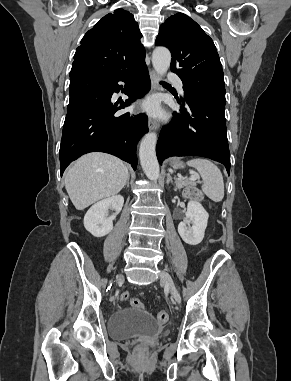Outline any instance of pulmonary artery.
I'll list each match as a JSON object with an SVG mask.
<instances>
[{"instance_id":"1","label":"pulmonary artery","mask_w":291,"mask_h":381,"mask_svg":"<svg viewBox=\"0 0 291 381\" xmlns=\"http://www.w3.org/2000/svg\"><path fill=\"white\" fill-rule=\"evenodd\" d=\"M168 79L174 82L178 86L181 92L183 91V82L176 74H174L173 72H170L168 75Z\"/></svg>"}]
</instances>
